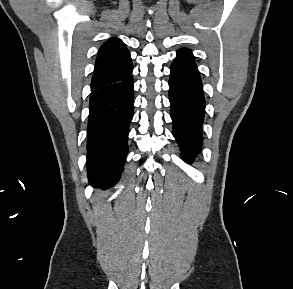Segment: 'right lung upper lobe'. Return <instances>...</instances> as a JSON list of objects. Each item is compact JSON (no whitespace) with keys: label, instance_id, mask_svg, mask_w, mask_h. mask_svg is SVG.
I'll use <instances>...</instances> for the list:
<instances>
[{"label":"right lung upper lobe","instance_id":"obj_1","mask_svg":"<svg viewBox=\"0 0 293 289\" xmlns=\"http://www.w3.org/2000/svg\"><path fill=\"white\" fill-rule=\"evenodd\" d=\"M133 64L129 50L118 38H110L99 49L91 90L116 83L131 75Z\"/></svg>","mask_w":293,"mask_h":289}]
</instances>
